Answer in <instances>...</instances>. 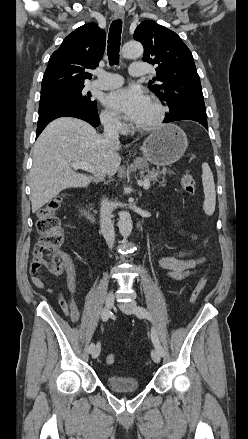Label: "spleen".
I'll return each instance as SVG.
<instances>
[{"instance_id":"spleen-1","label":"spleen","mask_w":248,"mask_h":439,"mask_svg":"<svg viewBox=\"0 0 248 439\" xmlns=\"http://www.w3.org/2000/svg\"><path fill=\"white\" fill-rule=\"evenodd\" d=\"M202 184L205 195L203 208L207 214L215 210L216 191L212 171L207 163L202 164Z\"/></svg>"}]
</instances>
